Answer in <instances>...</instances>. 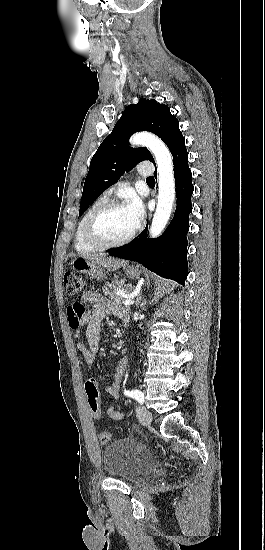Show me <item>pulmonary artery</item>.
<instances>
[{
    "label": "pulmonary artery",
    "mask_w": 265,
    "mask_h": 550,
    "mask_svg": "<svg viewBox=\"0 0 265 550\" xmlns=\"http://www.w3.org/2000/svg\"><path fill=\"white\" fill-rule=\"evenodd\" d=\"M138 171H139V174L142 175V176H147V175H148V169H146V168L140 167V168L138 169ZM114 189H115V187H110V188L105 192V194H106V195L111 194V193L113 192Z\"/></svg>",
    "instance_id": "1"
}]
</instances>
